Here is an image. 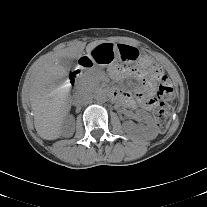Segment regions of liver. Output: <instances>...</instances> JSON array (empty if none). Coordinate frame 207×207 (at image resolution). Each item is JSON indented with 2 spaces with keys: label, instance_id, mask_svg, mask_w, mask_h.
Listing matches in <instances>:
<instances>
[{
  "label": "liver",
  "instance_id": "liver-1",
  "mask_svg": "<svg viewBox=\"0 0 207 207\" xmlns=\"http://www.w3.org/2000/svg\"><path fill=\"white\" fill-rule=\"evenodd\" d=\"M103 42L105 41L98 40L89 43L86 52H90ZM84 48L85 44L79 42L54 53L42 61L29 78L28 92L34 112V125L43 139L55 140L61 136L64 120L71 109L68 74L60 65L59 59L62 57L79 59Z\"/></svg>",
  "mask_w": 207,
  "mask_h": 207
}]
</instances>
